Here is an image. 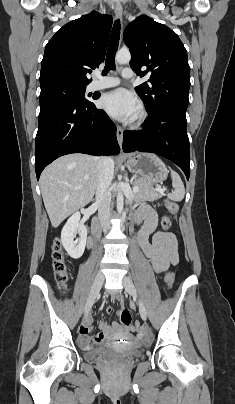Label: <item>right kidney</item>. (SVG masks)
Here are the masks:
<instances>
[{
  "label": "right kidney",
  "mask_w": 235,
  "mask_h": 404,
  "mask_svg": "<svg viewBox=\"0 0 235 404\" xmlns=\"http://www.w3.org/2000/svg\"><path fill=\"white\" fill-rule=\"evenodd\" d=\"M76 234L79 238L74 240ZM87 229L80 223V213H74L67 221L61 232V242L70 257L80 258L85 250Z\"/></svg>",
  "instance_id": "ca27d5eb"
}]
</instances>
